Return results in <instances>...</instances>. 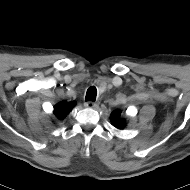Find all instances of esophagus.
<instances>
[{"instance_id":"esophagus-1","label":"esophagus","mask_w":190,"mask_h":190,"mask_svg":"<svg viewBox=\"0 0 190 190\" xmlns=\"http://www.w3.org/2000/svg\"><path fill=\"white\" fill-rule=\"evenodd\" d=\"M84 106L87 108H96L97 107V103L93 102V101H87L84 103Z\"/></svg>"}]
</instances>
